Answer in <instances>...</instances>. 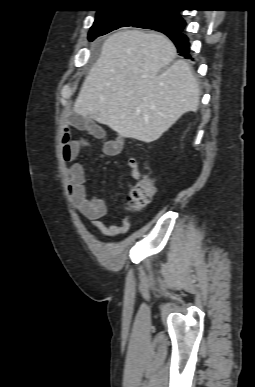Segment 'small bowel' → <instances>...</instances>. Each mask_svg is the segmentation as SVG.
Here are the masks:
<instances>
[{"label":"small bowel","mask_w":255,"mask_h":387,"mask_svg":"<svg viewBox=\"0 0 255 387\" xmlns=\"http://www.w3.org/2000/svg\"><path fill=\"white\" fill-rule=\"evenodd\" d=\"M72 129L88 131L103 139L102 149L105 155L117 156L122 152L124 139L117 136L114 139H105L103 129L86 116L75 114L65 120L61 137L62 157L66 162L76 159L80 150L87 145L83 139H75ZM130 176L138 180L141 176L139 165L134 157L127 158ZM68 196L73 206L80 214L88 219L94 228L107 237H114L126 233L130 229L128 217H124L120 225H105L100 219L107 214L105 200L95 194H89L86 188V171L81 163H74L68 170Z\"/></svg>","instance_id":"small-bowel-1"}]
</instances>
